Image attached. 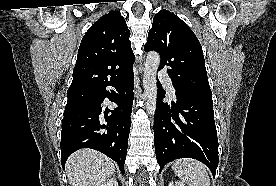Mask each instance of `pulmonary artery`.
I'll use <instances>...</instances> for the list:
<instances>
[{"label": "pulmonary artery", "mask_w": 276, "mask_h": 186, "mask_svg": "<svg viewBox=\"0 0 276 186\" xmlns=\"http://www.w3.org/2000/svg\"><path fill=\"white\" fill-rule=\"evenodd\" d=\"M159 77H160L162 83L164 84L166 90L168 91L169 95L174 97V95H175L174 87H173L170 77L164 71L159 72Z\"/></svg>", "instance_id": "pulmonary-artery-1"}]
</instances>
